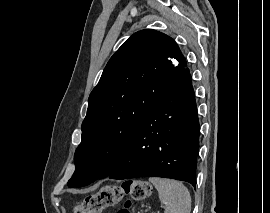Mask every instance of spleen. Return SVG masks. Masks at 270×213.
Wrapping results in <instances>:
<instances>
[{
  "label": "spleen",
  "instance_id": "obj_1",
  "mask_svg": "<svg viewBox=\"0 0 270 213\" xmlns=\"http://www.w3.org/2000/svg\"><path fill=\"white\" fill-rule=\"evenodd\" d=\"M149 181L155 186L164 213H190L191 197L188 189L179 181L151 177Z\"/></svg>",
  "mask_w": 270,
  "mask_h": 213
}]
</instances>
